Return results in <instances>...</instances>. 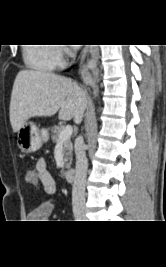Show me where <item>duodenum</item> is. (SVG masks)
Returning a JSON list of instances; mask_svg holds the SVG:
<instances>
[{
    "label": "duodenum",
    "mask_w": 166,
    "mask_h": 267,
    "mask_svg": "<svg viewBox=\"0 0 166 267\" xmlns=\"http://www.w3.org/2000/svg\"><path fill=\"white\" fill-rule=\"evenodd\" d=\"M76 176V171L74 168H69L66 172H65V179L69 182L74 181Z\"/></svg>",
    "instance_id": "410a0bca"
}]
</instances>
